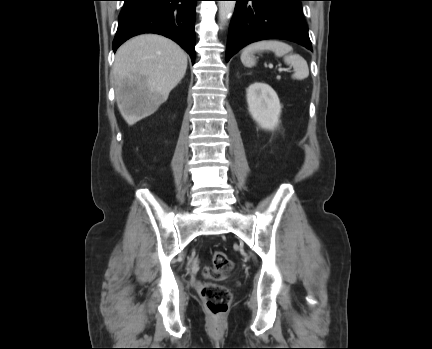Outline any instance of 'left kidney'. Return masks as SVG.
I'll list each match as a JSON object with an SVG mask.
<instances>
[{"mask_svg":"<svg viewBox=\"0 0 432 349\" xmlns=\"http://www.w3.org/2000/svg\"><path fill=\"white\" fill-rule=\"evenodd\" d=\"M248 110L253 120L265 130H274L279 123L281 105L276 92L263 82H255L247 89Z\"/></svg>","mask_w":432,"mask_h":349,"instance_id":"5707ae66","label":"left kidney"}]
</instances>
